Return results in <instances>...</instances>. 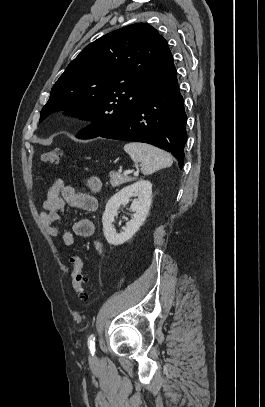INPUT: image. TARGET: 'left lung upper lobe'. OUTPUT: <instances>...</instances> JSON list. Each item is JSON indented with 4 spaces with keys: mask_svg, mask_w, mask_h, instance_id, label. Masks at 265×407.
<instances>
[{
    "mask_svg": "<svg viewBox=\"0 0 265 407\" xmlns=\"http://www.w3.org/2000/svg\"><path fill=\"white\" fill-rule=\"evenodd\" d=\"M176 76L167 41L146 23L110 32L86 46L54 84L40 116L60 110L93 123L77 138L112 129ZM84 113V115H83Z\"/></svg>",
    "mask_w": 265,
    "mask_h": 407,
    "instance_id": "1",
    "label": "left lung upper lobe"
}]
</instances>
